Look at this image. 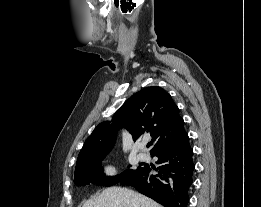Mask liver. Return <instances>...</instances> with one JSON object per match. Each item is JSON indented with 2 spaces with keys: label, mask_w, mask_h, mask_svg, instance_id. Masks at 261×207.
<instances>
[{
  "label": "liver",
  "mask_w": 261,
  "mask_h": 207,
  "mask_svg": "<svg viewBox=\"0 0 261 207\" xmlns=\"http://www.w3.org/2000/svg\"><path fill=\"white\" fill-rule=\"evenodd\" d=\"M83 207H162L152 199L121 187L104 189L101 194L88 200Z\"/></svg>",
  "instance_id": "obj_1"
}]
</instances>
